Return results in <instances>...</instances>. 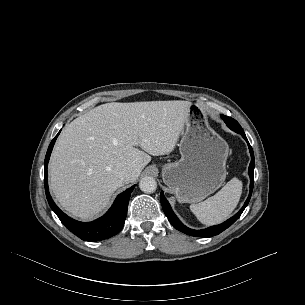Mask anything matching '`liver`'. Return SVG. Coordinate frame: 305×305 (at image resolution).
Instances as JSON below:
<instances>
[{
  "label": "liver",
  "instance_id": "1",
  "mask_svg": "<svg viewBox=\"0 0 305 305\" xmlns=\"http://www.w3.org/2000/svg\"><path fill=\"white\" fill-rule=\"evenodd\" d=\"M191 102L106 103L73 120L60 134L50 163V188L74 217L89 220L125 183L136 181L151 156L172 152ZM140 147L142 150L138 149Z\"/></svg>",
  "mask_w": 305,
  "mask_h": 305
}]
</instances>
